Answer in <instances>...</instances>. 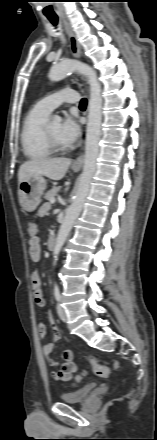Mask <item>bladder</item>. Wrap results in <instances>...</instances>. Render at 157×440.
<instances>
[{
	"mask_svg": "<svg viewBox=\"0 0 157 440\" xmlns=\"http://www.w3.org/2000/svg\"><path fill=\"white\" fill-rule=\"evenodd\" d=\"M94 389V385H88L72 392H63L60 394V400L68 404L83 403L93 394Z\"/></svg>",
	"mask_w": 157,
	"mask_h": 440,
	"instance_id": "31cf9c89",
	"label": "bladder"
}]
</instances>
